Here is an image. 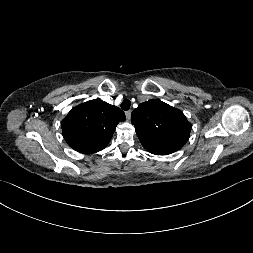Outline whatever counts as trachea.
Here are the masks:
<instances>
[{"label":"trachea","instance_id":"obj_1","mask_svg":"<svg viewBox=\"0 0 253 253\" xmlns=\"http://www.w3.org/2000/svg\"><path fill=\"white\" fill-rule=\"evenodd\" d=\"M130 106L131 102L128 99L123 100V102L121 103V108L125 111L128 110Z\"/></svg>","mask_w":253,"mask_h":253}]
</instances>
